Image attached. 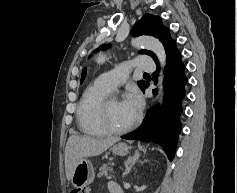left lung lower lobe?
Instances as JSON below:
<instances>
[{"label":"left lung lower lobe","mask_w":237,"mask_h":193,"mask_svg":"<svg viewBox=\"0 0 237 193\" xmlns=\"http://www.w3.org/2000/svg\"><path fill=\"white\" fill-rule=\"evenodd\" d=\"M167 63L165 66V96L161 107L153 108L145 117L143 124L136 131L122 136L124 139L140 140L159 144L170 161L174 158L178 134L181 130L179 115L182 112L181 101L185 96L184 86L187 78L184 74L185 65L174 41L166 50ZM159 69V63L156 62ZM156 71L153 79L157 81ZM146 82L142 90L148 86ZM155 93V90H153Z\"/></svg>","instance_id":"left-lung-lower-lobe-1"}]
</instances>
